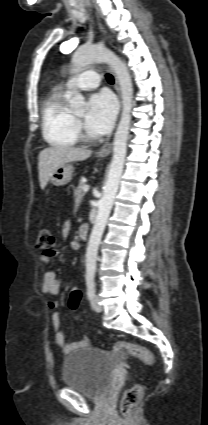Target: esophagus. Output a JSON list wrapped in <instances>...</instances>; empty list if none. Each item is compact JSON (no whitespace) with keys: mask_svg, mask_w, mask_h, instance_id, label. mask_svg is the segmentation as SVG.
I'll return each mask as SVG.
<instances>
[{"mask_svg":"<svg viewBox=\"0 0 208 425\" xmlns=\"http://www.w3.org/2000/svg\"><path fill=\"white\" fill-rule=\"evenodd\" d=\"M101 29H102V27H101ZM115 89H116V91H117V94H118V96H119V98H120V89H119V85H118V81H117V78H115ZM111 150H112V143L111 142H106L102 147H101V149L98 151V156H100V157H105V156H107V155H109L110 154V152H111Z\"/></svg>","mask_w":208,"mask_h":425,"instance_id":"esophagus-1","label":"esophagus"}]
</instances>
